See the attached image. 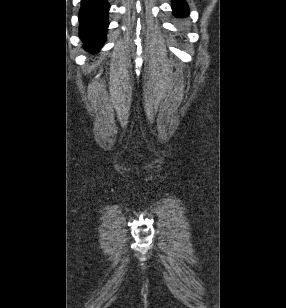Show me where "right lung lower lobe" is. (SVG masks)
<instances>
[{
    "mask_svg": "<svg viewBox=\"0 0 286 308\" xmlns=\"http://www.w3.org/2000/svg\"><path fill=\"white\" fill-rule=\"evenodd\" d=\"M79 12V35L87 50H99L105 40L108 29V12L110 9L106 0H81Z\"/></svg>",
    "mask_w": 286,
    "mask_h": 308,
    "instance_id": "obj_1",
    "label": "right lung lower lobe"
}]
</instances>
